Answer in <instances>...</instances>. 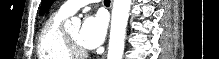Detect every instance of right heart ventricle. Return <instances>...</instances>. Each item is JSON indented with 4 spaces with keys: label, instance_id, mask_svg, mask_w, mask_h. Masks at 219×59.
<instances>
[{
    "label": "right heart ventricle",
    "instance_id": "obj_1",
    "mask_svg": "<svg viewBox=\"0 0 219 59\" xmlns=\"http://www.w3.org/2000/svg\"><path fill=\"white\" fill-rule=\"evenodd\" d=\"M67 17L57 11L44 23L37 40L39 59H73L64 38L63 21Z\"/></svg>",
    "mask_w": 219,
    "mask_h": 59
}]
</instances>
